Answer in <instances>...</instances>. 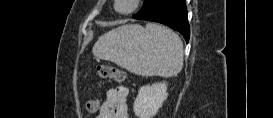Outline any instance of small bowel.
<instances>
[{"instance_id":"c3829d8e","label":"small bowel","mask_w":273,"mask_h":118,"mask_svg":"<svg viewBox=\"0 0 273 118\" xmlns=\"http://www.w3.org/2000/svg\"><path fill=\"white\" fill-rule=\"evenodd\" d=\"M129 90L125 86H117L106 92L100 106L98 118H127Z\"/></svg>"}]
</instances>
